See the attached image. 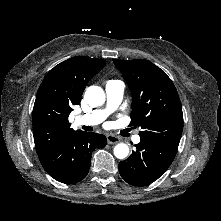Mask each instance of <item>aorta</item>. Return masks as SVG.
<instances>
[{
  "instance_id": "aorta-1",
  "label": "aorta",
  "mask_w": 221,
  "mask_h": 221,
  "mask_svg": "<svg viewBox=\"0 0 221 221\" xmlns=\"http://www.w3.org/2000/svg\"><path fill=\"white\" fill-rule=\"evenodd\" d=\"M85 101L92 107H97L105 102V93L101 87L90 86L84 95ZM129 154V147L125 143H119L114 147V155L118 159H124Z\"/></svg>"
}]
</instances>
